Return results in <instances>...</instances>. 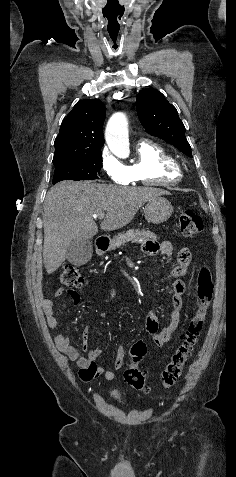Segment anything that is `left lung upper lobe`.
Returning <instances> with one entry per match:
<instances>
[{"mask_svg": "<svg viewBox=\"0 0 236 477\" xmlns=\"http://www.w3.org/2000/svg\"><path fill=\"white\" fill-rule=\"evenodd\" d=\"M137 113L147 133L159 137L192 157L191 147L185 137V126L176 108L158 90L147 88L137 96Z\"/></svg>", "mask_w": 236, "mask_h": 477, "instance_id": "1", "label": "left lung upper lobe"}]
</instances>
